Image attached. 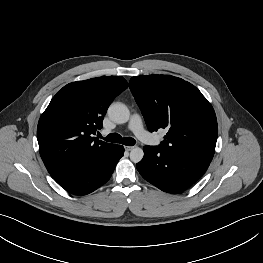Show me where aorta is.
<instances>
[{"label":"aorta","instance_id":"1","mask_svg":"<svg viewBox=\"0 0 263 263\" xmlns=\"http://www.w3.org/2000/svg\"><path fill=\"white\" fill-rule=\"evenodd\" d=\"M109 117L118 124L126 123L130 118V111L123 103H112L108 108ZM144 152L140 147H134L130 152V159L134 163H138L143 159Z\"/></svg>","mask_w":263,"mask_h":263}]
</instances>
